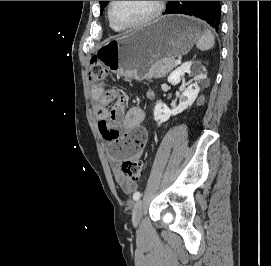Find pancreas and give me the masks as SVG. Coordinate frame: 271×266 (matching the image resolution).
Wrapping results in <instances>:
<instances>
[{"label": "pancreas", "mask_w": 271, "mask_h": 266, "mask_svg": "<svg viewBox=\"0 0 271 266\" xmlns=\"http://www.w3.org/2000/svg\"><path fill=\"white\" fill-rule=\"evenodd\" d=\"M175 66V60L173 59L159 60L152 65L149 75L153 78H162L169 74Z\"/></svg>", "instance_id": "cf45deb5"}]
</instances>
